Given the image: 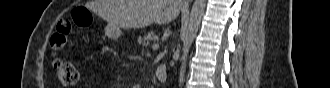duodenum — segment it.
Listing matches in <instances>:
<instances>
[{"label":"duodenum","mask_w":330,"mask_h":88,"mask_svg":"<svg viewBox=\"0 0 330 88\" xmlns=\"http://www.w3.org/2000/svg\"><path fill=\"white\" fill-rule=\"evenodd\" d=\"M167 70L164 65H159L155 68V76L159 81H164L166 78Z\"/></svg>","instance_id":"obj_1"}]
</instances>
